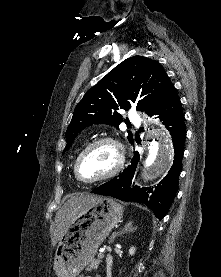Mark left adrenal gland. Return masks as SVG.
Segmentation results:
<instances>
[{
    "label": "left adrenal gland",
    "instance_id": "1",
    "mask_svg": "<svg viewBox=\"0 0 221 277\" xmlns=\"http://www.w3.org/2000/svg\"><path fill=\"white\" fill-rule=\"evenodd\" d=\"M131 230H132V229L129 228V229H125L124 231H121V232H114V233L110 236L109 241H110V242H113L117 236H120V235H122L123 233L129 232V231H131Z\"/></svg>",
    "mask_w": 221,
    "mask_h": 277
}]
</instances>
